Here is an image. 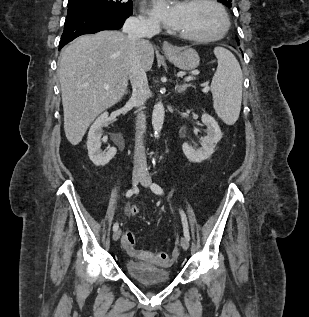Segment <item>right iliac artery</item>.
Segmentation results:
<instances>
[{
  "label": "right iliac artery",
  "mask_w": 309,
  "mask_h": 317,
  "mask_svg": "<svg viewBox=\"0 0 309 317\" xmlns=\"http://www.w3.org/2000/svg\"><path fill=\"white\" fill-rule=\"evenodd\" d=\"M137 189L136 188H133V189H129L127 192H126V197H131L134 192L136 191ZM118 227H119V224L118 223H115L113 225V231H116L118 230Z\"/></svg>",
  "instance_id": "1"
}]
</instances>
